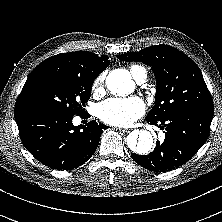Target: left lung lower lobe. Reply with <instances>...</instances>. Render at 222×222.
<instances>
[{
	"label": "left lung lower lobe",
	"instance_id": "1",
	"mask_svg": "<svg viewBox=\"0 0 222 222\" xmlns=\"http://www.w3.org/2000/svg\"><path fill=\"white\" fill-rule=\"evenodd\" d=\"M214 111L187 109L173 113L159 121H149L165 133L148 155L131 153L133 160L154 172H166L180 167L190 160L204 145L209 133Z\"/></svg>",
	"mask_w": 222,
	"mask_h": 222
}]
</instances>
